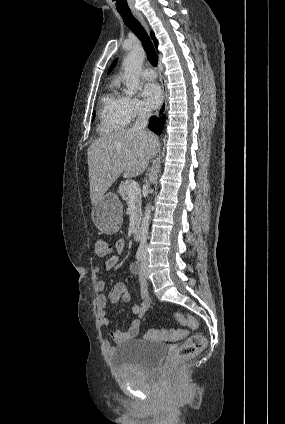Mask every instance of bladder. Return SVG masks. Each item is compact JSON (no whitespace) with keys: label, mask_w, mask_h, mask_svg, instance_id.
Returning <instances> with one entry per match:
<instances>
[{"label":"bladder","mask_w":285,"mask_h":424,"mask_svg":"<svg viewBox=\"0 0 285 424\" xmlns=\"http://www.w3.org/2000/svg\"><path fill=\"white\" fill-rule=\"evenodd\" d=\"M168 346L161 342L133 339L118 345L110 359L116 369L150 372L166 355Z\"/></svg>","instance_id":"obj_1"}]
</instances>
